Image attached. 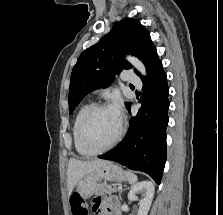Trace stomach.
Wrapping results in <instances>:
<instances>
[{
  "label": "stomach",
  "mask_w": 223,
  "mask_h": 215,
  "mask_svg": "<svg viewBox=\"0 0 223 215\" xmlns=\"http://www.w3.org/2000/svg\"><path fill=\"white\" fill-rule=\"evenodd\" d=\"M101 179H110L111 181L121 183V181H127V175L121 169L120 165H116L113 161H106L98 169L91 171V173H86L84 177L79 179L76 185V191L79 193V197H82V199L90 197L94 190V183H97Z\"/></svg>",
  "instance_id": "1"
}]
</instances>
